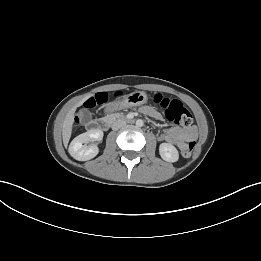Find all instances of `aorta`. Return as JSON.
Wrapping results in <instances>:
<instances>
[{"instance_id":"762f6f07","label":"aorta","mask_w":261,"mask_h":261,"mask_svg":"<svg viewBox=\"0 0 261 261\" xmlns=\"http://www.w3.org/2000/svg\"><path fill=\"white\" fill-rule=\"evenodd\" d=\"M143 120H141V119H138L137 121H136V126L137 127H142L143 126Z\"/></svg>"}]
</instances>
